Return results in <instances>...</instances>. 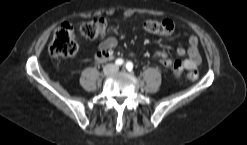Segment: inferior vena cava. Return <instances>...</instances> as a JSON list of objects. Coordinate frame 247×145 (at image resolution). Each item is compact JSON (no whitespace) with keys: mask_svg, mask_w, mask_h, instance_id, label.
<instances>
[{"mask_svg":"<svg viewBox=\"0 0 247 145\" xmlns=\"http://www.w3.org/2000/svg\"><path fill=\"white\" fill-rule=\"evenodd\" d=\"M111 69V72H114L117 69V66L113 65V64H107L104 68L105 71Z\"/></svg>","mask_w":247,"mask_h":145,"instance_id":"obj_1","label":"inferior vena cava"}]
</instances>
